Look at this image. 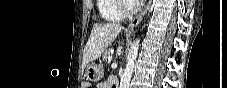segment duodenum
<instances>
[{
  "mask_svg": "<svg viewBox=\"0 0 227 88\" xmlns=\"http://www.w3.org/2000/svg\"><path fill=\"white\" fill-rule=\"evenodd\" d=\"M111 84H112V87H113V88L118 87V80H117V79L111 80Z\"/></svg>",
  "mask_w": 227,
  "mask_h": 88,
  "instance_id": "410a0bca",
  "label": "duodenum"
}]
</instances>
